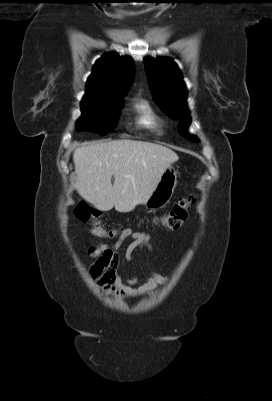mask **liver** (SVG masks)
<instances>
[{"label":"liver","mask_w":272,"mask_h":401,"mask_svg":"<svg viewBox=\"0 0 272 401\" xmlns=\"http://www.w3.org/2000/svg\"><path fill=\"white\" fill-rule=\"evenodd\" d=\"M178 159L173 150L150 142H92L73 153L75 188L102 211L115 207L130 212L146 202L164 171Z\"/></svg>","instance_id":"1"}]
</instances>
